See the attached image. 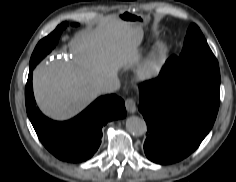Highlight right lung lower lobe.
<instances>
[{
    "label": "right lung lower lobe",
    "instance_id": "obj_1",
    "mask_svg": "<svg viewBox=\"0 0 236 182\" xmlns=\"http://www.w3.org/2000/svg\"><path fill=\"white\" fill-rule=\"evenodd\" d=\"M30 66L25 88L28 117L42 144L55 157L66 162H83L97 151L101 143L102 127L109 121L124 118V101L114 94L96 99L75 118L58 122L45 117L36 106Z\"/></svg>",
    "mask_w": 236,
    "mask_h": 182
}]
</instances>
